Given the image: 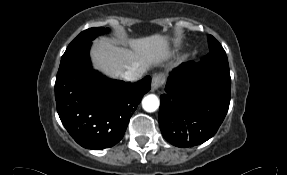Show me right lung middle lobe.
Wrapping results in <instances>:
<instances>
[{"mask_svg": "<svg viewBox=\"0 0 287 175\" xmlns=\"http://www.w3.org/2000/svg\"><path fill=\"white\" fill-rule=\"evenodd\" d=\"M108 29H105L103 27H96V28H90L83 32H81L67 47L65 53L82 46L83 44L90 42L94 38H96L98 35H101L105 33ZM64 53V54H65Z\"/></svg>", "mask_w": 287, "mask_h": 175, "instance_id": "dd1d6c3e", "label": "right lung middle lobe"}]
</instances>
